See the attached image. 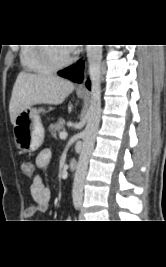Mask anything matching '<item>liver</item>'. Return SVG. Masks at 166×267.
<instances>
[{"label":"liver","instance_id":"6515ba94","mask_svg":"<svg viewBox=\"0 0 166 267\" xmlns=\"http://www.w3.org/2000/svg\"><path fill=\"white\" fill-rule=\"evenodd\" d=\"M74 90V84L54 74L20 72L9 103L11 123L18 114L36 104L59 105Z\"/></svg>","mask_w":166,"mask_h":267}]
</instances>
